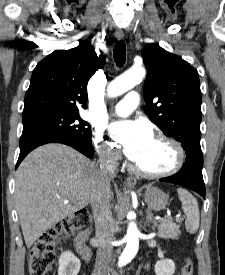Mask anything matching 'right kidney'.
Here are the masks:
<instances>
[{
  "label": "right kidney",
  "mask_w": 225,
  "mask_h": 275,
  "mask_svg": "<svg viewBox=\"0 0 225 275\" xmlns=\"http://www.w3.org/2000/svg\"><path fill=\"white\" fill-rule=\"evenodd\" d=\"M58 263V275H77L80 271V260L70 251L62 253Z\"/></svg>",
  "instance_id": "ca27d5eb"
}]
</instances>
